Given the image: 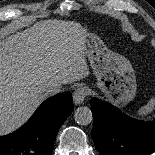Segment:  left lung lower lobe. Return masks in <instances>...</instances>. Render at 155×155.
I'll list each match as a JSON object with an SVG mask.
<instances>
[{
	"mask_svg": "<svg viewBox=\"0 0 155 155\" xmlns=\"http://www.w3.org/2000/svg\"><path fill=\"white\" fill-rule=\"evenodd\" d=\"M90 105L94 119L91 136L101 155H148L155 150V120L130 118L96 98Z\"/></svg>",
	"mask_w": 155,
	"mask_h": 155,
	"instance_id": "left-lung-lower-lobe-1",
	"label": "left lung lower lobe"
}]
</instances>
